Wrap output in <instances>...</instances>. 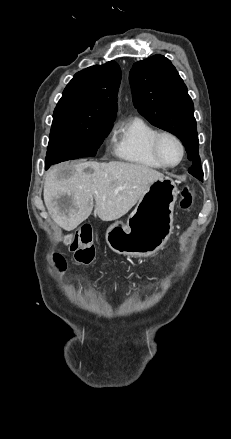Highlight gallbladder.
Instances as JSON below:
<instances>
[{
  "instance_id": "obj_1",
  "label": "gallbladder",
  "mask_w": 231,
  "mask_h": 439,
  "mask_svg": "<svg viewBox=\"0 0 231 439\" xmlns=\"http://www.w3.org/2000/svg\"><path fill=\"white\" fill-rule=\"evenodd\" d=\"M66 241H67V242L71 241V237L68 236V237L66 238Z\"/></svg>"
}]
</instances>
